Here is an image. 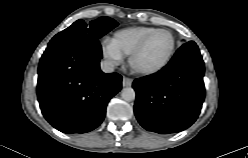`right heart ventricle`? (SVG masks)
Here are the masks:
<instances>
[{
  "mask_svg": "<svg viewBox=\"0 0 248 158\" xmlns=\"http://www.w3.org/2000/svg\"><path fill=\"white\" fill-rule=\"evenodd\" d=\"M154 29L144 26L121 29L114 33L111 41L123 56H129L142 38Z\"/></svg>",
  "mask_w": 248,
  "mask_h": 158,
  "instance_id": "1",
  "label": "right heart ventricle"
}]
</instances>
